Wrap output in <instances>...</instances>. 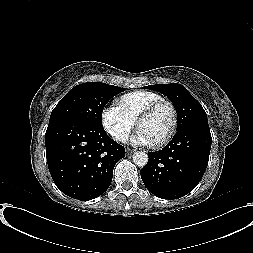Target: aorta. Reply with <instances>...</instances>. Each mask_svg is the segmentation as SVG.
I'll list each match as a JSON object with an SVG mask.
<instances>
[{
    "label": "aorta",
    "mask_w": 253,
    "mask_h": 253,
    "mask_svg": "<svg viewBox=\"0 0 253 253\" xmlns=\"http://www.w3.org/2000/svg\"><path fill=\"white\" fill-rule=\"evenodd\" d=\"M133 162L139 166L144 167L148 162V155L145 152L137 151L132 156Z\"/></svg>",
    "instance_id": "762f6f07"
}]
</instances>
